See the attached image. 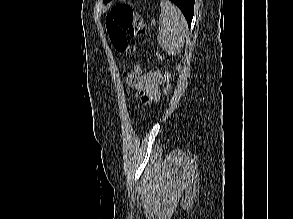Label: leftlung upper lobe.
Listing matches in <instances>:
<instances>
[{
  "label": "left lung upper lobe",
  "instance_id": "1",
  "mask_svg": "<svg viewBox=\"0 0 293 219\" xmlns=\"http://www.w3.org/2000/svg\"><path fill=\"white\" fill-rule=\"evenodd\" d=\"M110 0H103V2L106 4V3H108Z\"/></svg>",
  "mask_w": 293,
  "mask_h": 219
}]
</instances>
